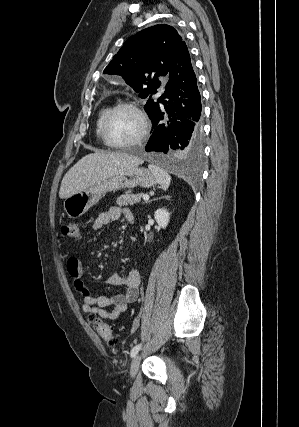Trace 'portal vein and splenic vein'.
<instances>
[{
	"instance_id": "18ae733b",
	"label": "portal vein and splenic vein",
	"mask_w": 299,
	"mask_h": 427,
	"mask_svg": "<svg viewBox=\"0 0 299 427\" xmlns=\"http://www.w3.org/2000/svg\"><path fill=\"white\" fill-rule=\"evenodd\" d=\"M143 199L146 201L149 200V195H143Z\"/></svg>"
}]
</instances>
